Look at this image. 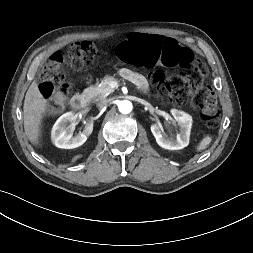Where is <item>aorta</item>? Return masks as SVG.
<instances>
[{
	"mask_svg": "<svg viewBox=\"0 0 253 253\" xmlns=\"http://www.w3.org/2000/svg\"><path fill=\"white\" fill-rule=\"evenodd\" d=\"M132 103L128 100H123L119 103L118 108L122 114H129L132 111Z\"/></svg>",
	"mask_w": 253,
	"mask_h": 253,
	"instance_id": "obj_1",
	"label": "aorta"
}]
</instances>
